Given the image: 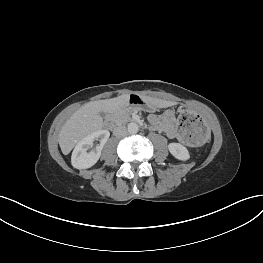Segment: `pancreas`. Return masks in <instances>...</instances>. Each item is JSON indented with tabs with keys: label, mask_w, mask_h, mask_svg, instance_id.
Masks as SVG:
<instances>
[{
	"label": "pancreas",
	"mask_w": 263,
	"mask_h": 263,
	"mask_svg": "<svg viewBox=\"0 0 263 263\" xmlns=\"http://www.w3.org/2000/svg\"><path fill=\"white\" fill-rule=\"evenodd\" d=\"M131 111L128 109H119L114 112L113 118L117 124H125L131 120Z\"/></svg>",
	"instance_id": "cf45deb5"
}]
</instances>
